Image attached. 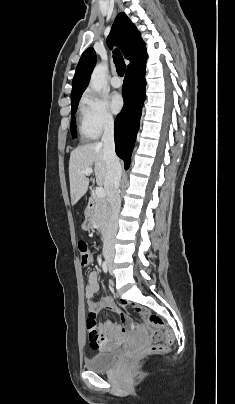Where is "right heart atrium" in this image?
Segmentation results:
<instances>
[{"instance_id": "d8ad5b80", "label": "right heart atrium", "mask_w": 235, "mask_h": 404, "mask_svg": "<svg viewBox=\"0 0 235 404\" xmlns=\"http://www.w3.org/2000/svg\"><path fill=\"white\" fill-rule=\"evenodd\" d=\"M81 109L85 113L92 131L99 135L114 126L115 118L106 101L91 91L84 93L81 99Z\"/></svg>"}]
</instances>
